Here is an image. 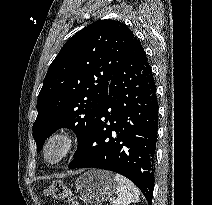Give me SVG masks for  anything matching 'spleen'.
<instances>
[{"instance_id": "3e777b00", "label": "spleen", "mask_w": 212, "mask_h": 205, "mask_svg": "<svg viewBox=\"0 0 212 205\" xmlns=\"http://www.w3.org/2000/svg\"><path fill=\"white\" fill-rule=\"evenodd\" d=\"M114 179L117 184V197L113 198V205H129L131 203L139 202V190L130 180L120 174H115Z\"/></svg>"}]
</instances>
